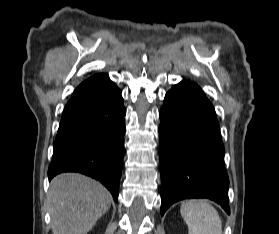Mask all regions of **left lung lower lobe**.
<instances>
[{"instance_id":"0a47b994","label":"left lung lower lobe","mask_w":279,"mask_h":234,"mask_svg":"<svg viewBox=\"0 0 279 234\" xmlns=\"http://www.w3.org/2000/svg\"><path fill=\"white\" fill-rule=\"evenodd\" d=\"M159 117L161 215L187 198H209L230 214L219 123L201 88L185 80L176 84Z\"/></svg>"}]
</instances>
